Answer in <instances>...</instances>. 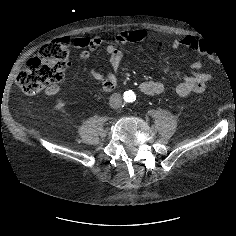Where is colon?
<instances>
[{
	"mask_svg": "<svg viewBox=\"0 0 236 236\" xmlns=\"http://www.w3.org/2000/svg\"><path fill=\"white\" fill-rule=\"evenodd\" d=\"M195 50H200L203 58H211L222 63L225 60L219 47L210 45H192ZM69 45L65 40H54L45 44L37 57L30 59L25 69L20 71L16 84L20 90L29 96L38 94L44 88L55 85L63 79L64 70L68 65Z\"/></svg>",
	"mask_w": 236,
	"mask_h": 236,
	"instance_id": "5ec220e1",
	"label": "colon"
}]
</instances>
